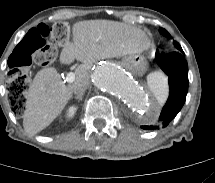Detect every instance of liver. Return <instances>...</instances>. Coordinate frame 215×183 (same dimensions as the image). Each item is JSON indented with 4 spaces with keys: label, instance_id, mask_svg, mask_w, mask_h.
Masks as SVG:
<instances>
[{
    "label": "liver",
    "instance_id": "liver-1",
    "mask_svg": "<svg viewBox=\"0 0 215 183\" xmlns=\"http://www.w3.org/2000/svg\"><path fill=\"white\" fill-rule=\"evenodd\" d=\"M72 32L73 40L64 44L60 62L83 63L76 69V81L89 78V69L100 59L140 54L150 47L144 31L117 21H80L73 25ZM73 91V85L66 86L55 68L37 72L26 96L25 131L35 135L49 126L63 111Z\"/></svg>",
    "mask_w": 215,
    "mask_h": 183
}]
</instances>
